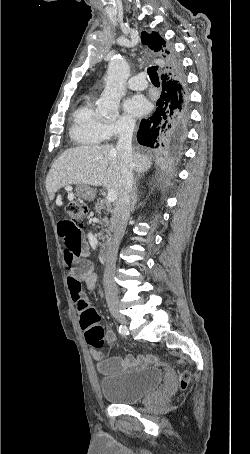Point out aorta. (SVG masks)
<instances>
[{
  "label": "aorta",
  "instance_id": "1",
  "mask_svg": "<svg viewBox=\"0 0 250 454\" xmlns=\"http://www.w3.org/2000/svg\"><path fill=\"white\" fill-rule=\"evenodd\" d=\"M130 76V67L122 57L109 62L105 88L97 102V110L103 116L116 117L119 113L121 98L125 93V85Z\"/></svg>",
  "mask_w": 250,
  "mask_h": 454
}]
</instances>
